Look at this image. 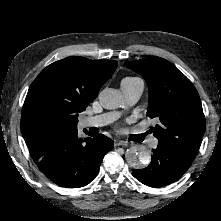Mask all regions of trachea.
<instances>
[{
  "label": "trachea",
  "instance_id": "trachea-1",
  "mask_svg": "<svg viewBox=\"0 0 221 221\" xmlns=\"http://www.w3.org/2000/svg\"><path fill=\"white\" fill-rule=\"evenodd\" d=\"M145 136H146V133H143V134H140V135H139V137H140L141 140H143Z\"/></svg>",
  "mask_w": 221,
  "mask_h": 221
}]
</instances>
